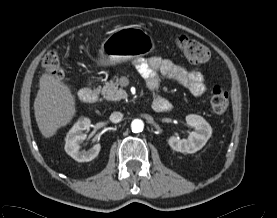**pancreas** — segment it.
<instances>
[{
    "label": "pancreas",
    "instance_id": "pancreas-1",
    "mask_svg": "<svg viewBox=\"0 0 277 218\" xmlns=\"http://www.w3.org/2000/svg\"><path fill=\"white\" fill-rule=\"evenodd\" d=\"M101 93L107 100H121L127 98V93L124 89L119 88L118 77L114 76L113 80L106 82L101 89Z\"/></svg>",
    "mask_w": 277,
    "mask_h": 218
}]
</instances>
